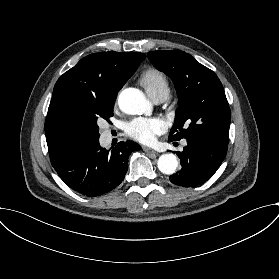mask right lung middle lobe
Returning <instances> with one entry per match:
<instances>
[{
	"label": "right lung middle lobe",
	"instance_id": "right-lung-middle-lobe-1",
	"mask_svg": "<svg viewBox=\"0 0 279 279\" xmlns=\"http://www.w3.org/2000/svg\"><path fill=\"white\" fill-rule=\"evenodd\" d=\"M117 94H77L67 101L60 113V123L65 134L84 147L99 140V118L113 116Z\"/></svg>",
	"mask_w": 279,
	"mask_h": 279
}]
</instances>
